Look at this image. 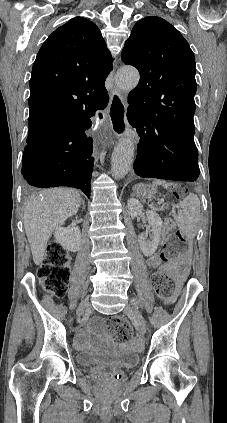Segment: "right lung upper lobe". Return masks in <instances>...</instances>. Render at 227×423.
Listing matches in <instances>:
<instances>
[{"mask_svg": "<svg viewBox=\"0 0 227 423\" xmlns=\"http://www.w3.org/2000/svg\"><path fill=\"white\" fill-rule=\"evenodd\" d=\"M112 57L98 27L72 18L43 43L32 68L29 107L37 105L107 104L104 82ZM70 121L49 118L29 121L27 144H37L66 129Z\"/></svg>", "mask_w": 227, "mask_h": 423, "instance_id": "1", "label": "right lung upper lobe"}]
</instances>
